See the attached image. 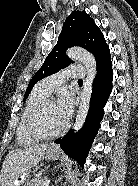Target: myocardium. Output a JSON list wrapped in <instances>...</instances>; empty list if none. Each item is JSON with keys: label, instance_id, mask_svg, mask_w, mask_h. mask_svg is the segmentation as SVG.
<instances>
[{"label": "myocardium", "instance_id": "f54148a6", "mask_svg": "<svg viewBox=\"0 0 138 186\" xmlns=\"http://www.w3.org/2000/svg\"><path fill=\"white\" fill-rule=\"evenodd\" d=\"M55 102L53 98L47 97L43 99L41 102H39L29 113L27 120H26V131L27 133L38 139V140H48L56 138L60 135H62L66 129H67V122L65 125L58 131L54 133H44L37 127V119L39 115L43 112V110L46 108V106L50 103Z\"/></svg>", "mask_w": 138, "mask_h": 186}]
</instances>
